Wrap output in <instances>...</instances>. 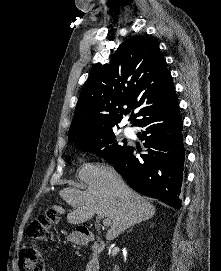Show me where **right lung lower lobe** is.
<instances>
[{
    "label": "right lung lower lobe",
    "instance_id": "right-lung-lower-lobe-1",
    "mask_svg": "<svg viewBox=\"0 0 221 271\" xmlns=\"http://www.w3.org/2000/svg\"><path fill=\"white\" fill-rule=\"evenodd\" d=\"M135 126L143 128L138 137L145 141L147 154L137 158L129 145L112 163L115 170L135 191L179 209L185 153L178 101Z\"/></svg>",
    "mask_w": 221,
    "mask_h": 271
}]
</instances>
